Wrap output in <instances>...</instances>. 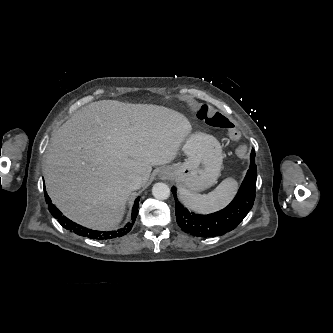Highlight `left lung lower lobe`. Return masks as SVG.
<instances>
[{
  "label": "left lung lower lobe",
  "instance_id": "0a47b994",
  "mask_svg": "<svg viewBox=\"0 0 333 333\" xmlns=\"http://www.w3.org/2000/svg\"><path fill=\"white\" fill-rule=\"evenodd\" d=\"M254 157L253 149L250 167L237 195L227 207L218 212L208 215L189 212L177 201L176 188H172L176 201V220L183 231L197 237H213L224 235L239 225L251 210L255 200L257 166Z\"/></svg>",
  "mask_w": 333,
  "mask_h": 333
}]
</instances>
